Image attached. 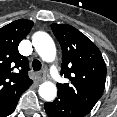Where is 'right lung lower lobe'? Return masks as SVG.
Instances as JSON below:
<instances>
[{
  "label": "right lung lower lobe",
  "instance_id": "right-lung-lower-lobe-1",
  "mask_svg": "<svg viewBox=\"0 0 117 117\" xmlns=\"http://www.w3.org/2000/svg\"><path fill=\"white\" fill-rule=\"evenodd\" d=\"M14 110H15V108H14L9 114H11ZM9 114H7V115H9ZM7 115H6V116H7ZM6 116H5V117H6Z\"/></svg>",
  "mask_w": 117,
  "mask_h": 117
}]
</instances>
